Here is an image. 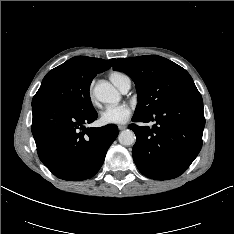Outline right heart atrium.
<instances>
[{"instance_id": "d8ad5b80", "label": "right heart atrium", "mask_w": 234, "mask_h": 234, "mask_svg": "<svg viewBox=\"0 0 234 234\" xmlns=\"http://www.w3.org/2000/svg\"><path fill=\"white\" fill-rule=\"evenodd\" d=\"M88 98L91 104L96 105V99L93 94V85H90L89 90H88Z\"/></svg>"}]
</instances>
